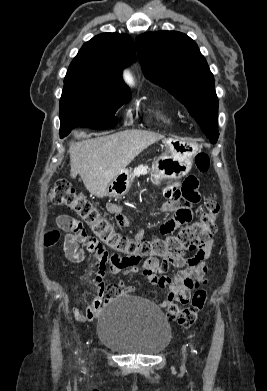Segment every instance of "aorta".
Listing matches in <instances>:
<instances>
[{"label":"aorta","mask_w":267,"mask_h":391,"mask_svg":"<svg viewBox=\"0 0 267 391\" xmlns=\"http://www.w3.org/2000/svg\"><path fill=\"white\" fill-rule=\"evenodd\" d=\"M126 79L128 82H131V83L133 82L132 77H130V75H126Z\"/></svg>","instance_id":"aorta-1"}]
</instances>
